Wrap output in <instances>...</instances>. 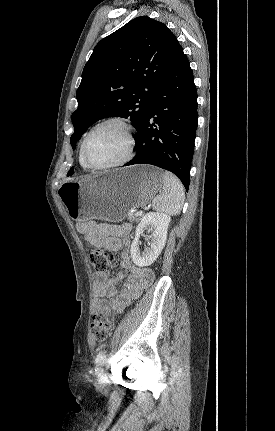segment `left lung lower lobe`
<instances>
[{
	"label": "left lung lower lobe",
	"instance_id": "obj_1",
	"mask_svg": "<svg viewBox=\"0 0 275 431\" xmlns=\"http://www.w3.org/2000/svg\"><path fill=\"white\" fill-rule=\"evenodd\" d=\"M197 91L180 48L135 138L136 156L125 166L151 164L173 172L188 190L197 130Z\"/></svg>",
	"mask_w": 275,
	"mask_h": 431
}]
</instances>
